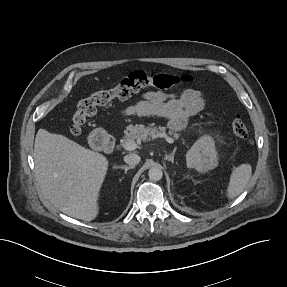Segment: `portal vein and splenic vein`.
<instances>
[{"instance_id":"18ae733b","label":"portal vein and splenic vein","mask_w":287,"mask_h":287,"mask_svg":"<svg viewBox=\"0 0 287 287\" xmlns=\"http://www.w3.org/2000/svg\"><path fill=\"white\" fill-rule=\"evenodd\" d=\"M162 137L165 138V140L169 143V144H173L174 143V139H172L171 137L167 136L166 134H163ZM124 149L127 151H133L136 149L137 145L134 141H129L127 143H125L123 145Z\"/></svg>"}]
</instances>
